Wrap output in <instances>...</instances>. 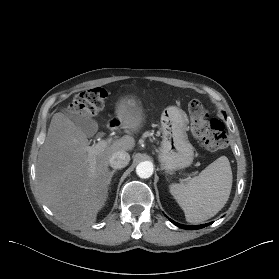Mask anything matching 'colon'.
<instances>
[{
	"mask_svg": "<svg viewBox=\"0 0 279 279\" xmlns=\"http://www.w3.org/2000/svg\"><path fill=\"white\" fill-rule=\"evenodd\" d=\"M107 98L101 87L78 93L71 103V109L82 116H91L103 109ZM192 134L208 150L223 149L227 146V134L224 125L217 119H209L205 107L197 100L188 104Z\"/></svg>",
	"mask_w": 279,
	"mask_h": 279,
	"instance_id": "obj_1",
	"label": "colon"
}]
</instances>
